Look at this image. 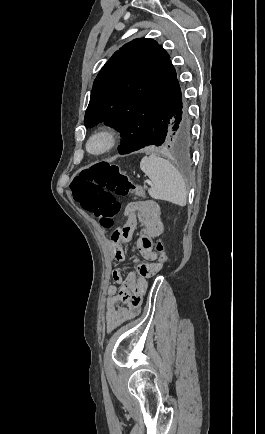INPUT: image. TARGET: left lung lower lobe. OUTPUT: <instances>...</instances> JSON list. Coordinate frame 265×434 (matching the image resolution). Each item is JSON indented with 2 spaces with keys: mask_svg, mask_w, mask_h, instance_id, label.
<instances>
[{
  "mask_svg": "<svg viewBox=\"0 0 265 434\" xmlns=\"http://www.w3.org/2000/svg\"><path fill=\"white\" fill-rule=\"evenodd\" d=\"M163 116L160 125L142 129L122 139L118 147L119 153L128 154L145 147L158 153H188L192 146V134L190 124L183 114L182 95Z\"/></svg>",
  "mask_w": 265,
  "mask_h": 434,
  "instance_id": "0a47b994",
  "label": "left lung lower lobe"
}]
</instances>
